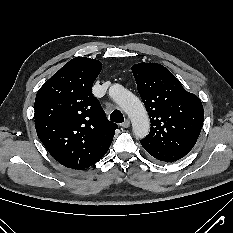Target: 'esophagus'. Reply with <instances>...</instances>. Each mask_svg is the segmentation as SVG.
Segmentation results:
<instances>
[{
    "label": "esophagus",
    "instance_id": "34e87169",
    "mask_svg": "<svg viewBox=\"0 0 233 233\" xmlns=\"http://www.w3.org/2000/svg\"><path fill=\"white\" fill-rule=\"evenodd\" d=\"M121 126H122L123 128H128V127L130 126V121H129L128 119H126V120L121 124Z\"/></svg>",
    "mask_w": 233,
    "mask_h": 233
}]
</instances>
